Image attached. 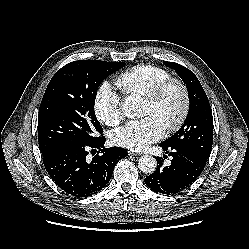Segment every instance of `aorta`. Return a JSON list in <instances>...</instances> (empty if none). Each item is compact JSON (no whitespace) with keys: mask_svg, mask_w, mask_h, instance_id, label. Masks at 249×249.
<instances>
[{"mask_svg":"<svg viewBox=\"0 0 249 249\" xmlns=\"http://www.w3.org/2000/svg\"><path fill=\"white\" fill-rule=\"evenodd\" d=\"M139 100L133 96H129L122 104V110L127 117L136 116L139 110ZM157 161L151 155H143L138 160V168L146 174H151L156 170Z\"/></svg>","mask_w":249,"mask_h":249,"instance_id":"aorta-1","label":"aorta"}]
</instances>
